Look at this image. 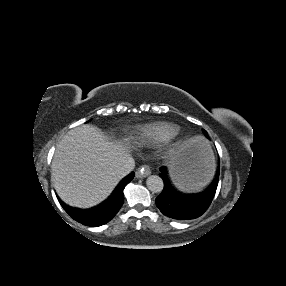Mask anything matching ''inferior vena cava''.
<instances>
[{
    "instance_id": "inferior-vena-cava-1",
    "label": "inferior vena cava",
    "mask_w": 286,
    "mask_h": 286,
    "mask_svg": "<svg viewBox=\"0 0 286 286\" xmlns=\"http://www.w3.org/2000/svg\"><path fill=\"white\" fill-rule=\"evenodd\" d=\"M135 161L131 157H126L120 160L115 166V174L119 177H124L133 171Z\"/></svg>"
}]
</instances>
